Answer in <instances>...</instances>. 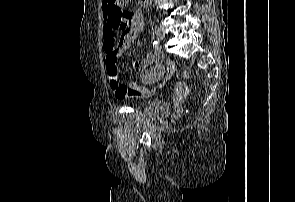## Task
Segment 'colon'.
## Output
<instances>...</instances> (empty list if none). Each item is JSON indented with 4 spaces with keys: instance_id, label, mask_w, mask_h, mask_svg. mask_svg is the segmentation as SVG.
I'll use <instances>...</instances> for the list:
<instances>
[{
    "instance_id": "colon-1",
    "label": "colon",
    "mask_w": 295,
    "mask_h": 202,
    "mask_svg": "<svg viewBox=\"0 0 295 202\" xmlns=\"http://www.w3.org/2000/svg\"><path fill=\"white\" fill-rule=\"evenodd\" d=\"M128 2L129 0H105V11L118 18L121 28L126 27L129 20L127 11L122 9ZM182 75L188 77L186 71H182Z\"/></svg>"
}]
</instances>
